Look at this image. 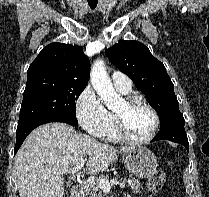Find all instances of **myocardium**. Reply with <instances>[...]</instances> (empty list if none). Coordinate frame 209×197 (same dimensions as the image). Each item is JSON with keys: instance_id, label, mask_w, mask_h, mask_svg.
Here are the masks:
<instances>
[{"instance_id": "myocardium-1", "label": "myocardium", "mask_w": 209, "mask_h": 197, "mask_svg": "<svg viewBox=\"0 0 209 197\" xmlns=\"http://www.w3.org/2000/svg\"><path fill=\"white\" fill-rule=\"evenodd\" d=\"M124 103L128 106H132L136 103H142L143 105H145L153 116V127L150 133L145 138L142 139L133 138L127 133L122 117L119 114L114 113L115 126L120 139L133 145H143L151 142L157 135L160 126V117L157 110L146 98L136 94L127 96L124 99Z\"/></svg>"}]
</instances>
